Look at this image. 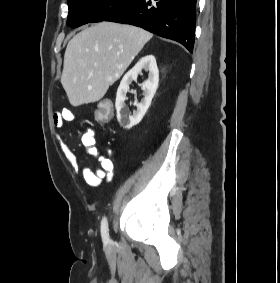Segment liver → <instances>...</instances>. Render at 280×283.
<instances>
[{
	"mask_svg": "<svg viewBox=\"0 0 280 283\" xmlns=\"http://www.w3.org/2000/svg\"><path fill=\"white\" fill-rule=\"evenodd\" d=\"M152 36L142 28L112 22L76 34L66 47L61 76L70 104L102 99Z\"/></svg>",
	"mask_w": 280,
	"mask_h": 283,
	"instance_id": "liver-1",
	"label": "liver"
}]
</instances>
